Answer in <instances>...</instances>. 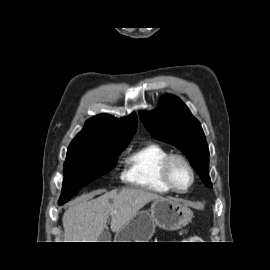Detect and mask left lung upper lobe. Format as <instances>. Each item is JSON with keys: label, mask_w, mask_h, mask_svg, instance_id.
Instances as JSON below:
<instances>
[{"label": "left lung upper lobe", "mask_w": 270, "mask_h": 270, "mask_svg": "<svg viewBox=\"0 0 270 270\" xmlns=\"http://www.w3.org/2000/svg\"><path fill=\"white\" fill-rule=\"evenodd\" d=\"M150 134L180 148L203 183L211 187L208 175L209 150L200 123L177 97L164 95L157 110L139 113Z\"/></svg>", "instance_id": "1"}]
</instances>
